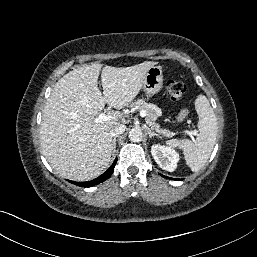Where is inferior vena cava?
I'll return each instance as SVG.
<instances>
[{
	"label": "inferior vena cava",
	"mask_w": 257,
	"mask_h": 257,
	"mask_svg": "<svg viewBox=\"0 0 257 257\" xmlns=\"http://www.w3.org/2000/svg\"><path fill=\"white\" fill-rule=\"evenodd\" d=\"M125 129H126V126L118 125L110 131V136L111 137L118 136L119 134H122L125 131Z\"/></svg>",
	"instance_id": "1"
}]
</instances>
